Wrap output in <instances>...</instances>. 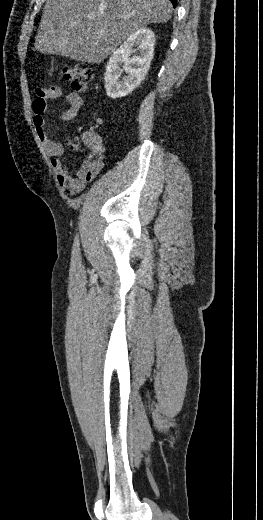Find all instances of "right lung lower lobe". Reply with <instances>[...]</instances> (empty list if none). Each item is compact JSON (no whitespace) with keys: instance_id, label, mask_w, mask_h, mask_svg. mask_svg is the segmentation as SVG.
Returning a JSON list of instances; mask_svg holds the SVG:
<instances>
[{"instance_id":"obj_1","label":"right lung lower lobe","mask_w":263,"mask_h":520,"mask_svg":"<svg viewBox=\"0 0 263 520\" xmlns=\"http://www.w3.org/2000/svg\"><path fill=\"white\" fill-rule=\"evenodd\" d=\"M170 1L172 2L173 6L175 7L177 0H170Z\"/></svg>"}]
</instances>
